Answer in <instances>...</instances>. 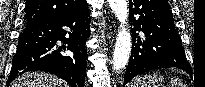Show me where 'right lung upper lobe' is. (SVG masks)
Returning a JSON list of instances; mask_svg holds the SVG:
<instances>
[{
    "label": "right lung upper lobe",
    "instance_id": "right-lung-upper-lobe-1",
    "mask_svg": "<svg viewBox=\"0 0 205 87\" xmlns=\"http://www.w3.org/2000/svg\"><path fill=\"white\" fill-rule=\"evenodd\" d=\"M86 4V0H26V25L63 16Z\"/></svg>",
    "mask_w": 205,
    "mask_h": 87
}]
</instances>
